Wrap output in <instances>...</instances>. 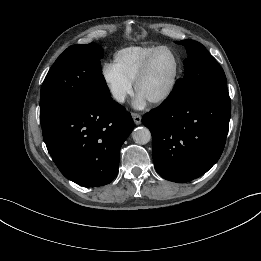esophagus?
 <instances>
[{"instance_id":"34e87169","label":"esophagus","mask_w":261,"mask_h":261,"mask_svg":"<svg viewBox=\"0 0 261 261\" xmlns=\"http://www.w3.org/2000/svg\"><path fill=\"white\" fill-rule=\"evenodd\" d=\"M131 115H132V118L134 120V123L136 125H140L141 124V120H142L141 115L138 114V113H135V112H133Z\"/></svg>"}]
</instances>
